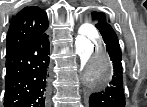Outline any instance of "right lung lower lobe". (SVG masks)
Returning <instances> with one entry per match:
<instances>
[{
	"mask_svg": "<svg viewBox=\"0 0 147 107\" xmlns=\"http://www.w3.org/2000/svg\"><path fill=\"white\" fill-rule=\"evenodd\" d=\"M49 60L46 33L7 53L4 107H45Z\"/></svg>",
	"mask_w": 147,
	"mask_h": 107,
	"instance_id": "right-lung-lower-lobe-1",
	"label": "right lung lower lobe"
}]
</instances>
